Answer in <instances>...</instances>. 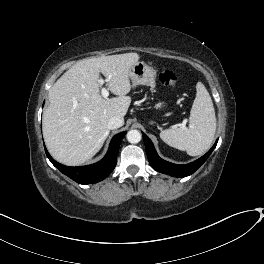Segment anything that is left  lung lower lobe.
<instances>
[{"mask_svg":"<svg viewBox=\"0 0 264 264\" xmlns=\"http://www.w3.org/2000/svg\"><path fill=\"white\" fill-rule=\"evenodd\" d=\"M143 139L145 143L146 153L151 166L158 172L173 176V177H186L194 173L210 156L212 151L217 145L218 139L213 145V147L201 158L196 161L185 164V165H177L170 162H167L161 159L151 142V140L144 134Z\"/></svg>","mask_w":264,"mask_h":264,"instance_id":"left-lung-lower-lobe-1","label":"left lung lower lobe"}]
</instances>
